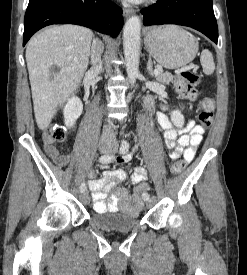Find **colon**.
Returning <instances> with one entry per match:
<instances>
[{
	"instance_id": "obj_1",
	"label": "colon",
	"mask_w": 247,
	"mask_h": 275,
	"mask_svg": "<svg viewBox=\"0 0 247 275\" xmlns=\"http://www.w3.org/2000/svg\"><path fill=\"white\" fill-rule=\"evenodd\" d=\"M200 83V76L188 69H182L178 73L175 88L176 91L184 99L194 101L197 98V85ZM214 112V99L212 97H205L201 102V110L199 113V123L203 128H209L212 124ZM66 130L61 126L53 127L44 135L46 144H59L66 139ZM186 167V161L179 160L172 164L171 172L175 175L181 173ZM150 189L147 183L140 184L135 187L134 194L142 196Z\"/></svg>"
}]
</instances>
